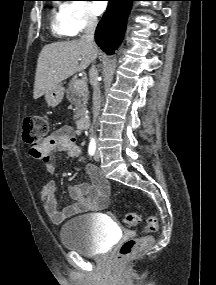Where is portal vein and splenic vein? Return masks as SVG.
<instances>
[{"label": "portal vein and splenic vein", "mask_w": 216, "mask_h": 285, "mask_svg": "<svg viewBox=\"0 0 216 285\" xmlns=\"http://www.w3.org/2000/svg\"><path fill=\"white\" fill-rule=\"evenodd\" d=\"M83 83H84V80H83V79L77 80V81L75 82V87H80L81 85H83Z\"/></svg>", "instance_id": "18ae733b"}]
</instances>
